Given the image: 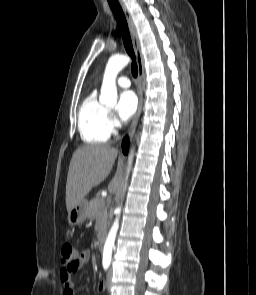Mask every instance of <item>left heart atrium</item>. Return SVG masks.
Here are the masks:
<instances>
[{
	"mask_svg": "<svg viewBox=\"0 0 256 295\" xmlns=\"http://www.w3.org/2000/svg\"><path fill=\"white\" fill-rule=\"evenodd\" d=\"M137 108V98L132 91H125L120 95L117 113L120 121H128Z\"/></svg>",
	"mask_w": 256,
	"mask_h": 295,
	"instance_id": "39dd6f15",
	"label": "left heart atrium"
}]
</instances>
